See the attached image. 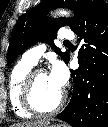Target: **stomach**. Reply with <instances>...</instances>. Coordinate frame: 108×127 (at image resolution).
Returning a JSON list of instances; mask_svg holds the SVG:
<instances>
[{
  "instance_id": "1",
  "label": "stomach",
  "mask_w": 108,
  "mask_h": 127,
  "mask_svg": "<svg viewBox=\"0 0 108 127\" xmlns=\"http://www.w3.org/2000/svg\"><path fill=\"white\" fill-rule=\"evenodd\" d=\"M46 127H70L66 123H55V124H48Z\"/></svg>"
}]
</instances>
